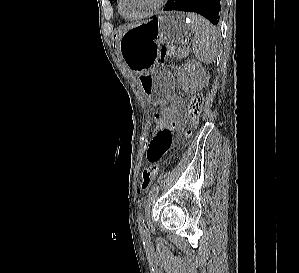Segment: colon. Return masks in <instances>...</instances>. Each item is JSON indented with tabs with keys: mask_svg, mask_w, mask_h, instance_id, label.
<instances>
[{
	"mask_svg": "<svg viewBox=\"0 0 299 273\" xmlns=\"http://www.w3.org/2000/svg\"><path fill=\"white\" fill-rule=\"evenodd\" d=\"M173 48L168 45H163L161 47V58L162 60L172 52ZM178 100V99H177ZM175 100L170 105L163 107L160 111L156 112L154 116L155 120V131L161 130L168 127L176 118L179 112V104L178 101ZM204 105V97L202 94L193 95L187 105V114L190 119L191 127L186 130V135L189 136L191 134L192 128H194L202 115ZM160 171L159 164H152L147 169L142 172L141 176V184L138 189L139 193L145 192L155 177L158 175Z\"/></svg>",
	"mask_w": 299,
	"mask_h": 273,
	"instance_id": "obj_1",
	"label": "colon"
}]
</instances>
